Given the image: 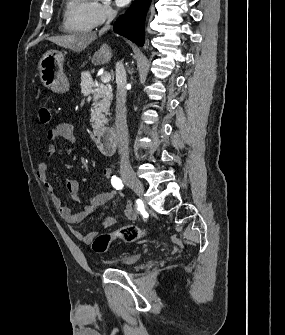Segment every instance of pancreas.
Listing matches in <instances>:
<instances>
[{
  "label": "pancreas",
  "mask_w": 285,
  "mask_h": 335,
  "mask_svg": "<svg viewBox=\"0 0 285 335\" xmlns=\"http://www.w3.org/2000/svg\"><path fill=\"white\" fill-rule=\"evenodd\" d=\"M90 76H92V73L84 71L79 85L83 93H93L94 91V110H92L91 122L93 125L108 124L106 116L111 106V88H108V86H98L96 88V84L92 80L95 79V76H92V79Z\"/></svg>",
  "instance_id": "cf45deb5"
}]
</instances>
